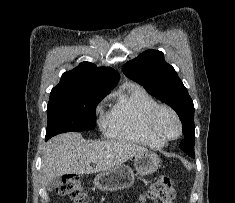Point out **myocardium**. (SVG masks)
Listing matches in <instances>:
<instances>
[{
  "mask_svg": "<svg viewBox=\"0 0 235 203\" xmlns=\"http://www.w3.org/2000/svg\"><path fill=\"white\" fill-rule=\"evenodd\" d=\"M163 111L169 112L173 116V118L175 119V121L177 123L178 132L175 136H167V135L161 134L155 128L156 120H157L159 114ZM146 130L154 138L158 139L161 142L166 143V142L176 140L182 135L183 124H182L180 116L172 107H170L169 105H166V104H158L154 108H152L147 115Z\"/></svg>",
  "mask_w": 235,
  "mask_h": 203,
  "instance_id": "f54148a6",
  "label": "myocardium"
}]
</instances>
